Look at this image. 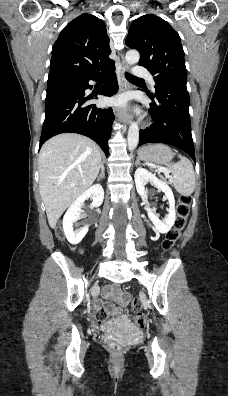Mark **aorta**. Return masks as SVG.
I'll list each match as a JSON object with an SVG mask.
<instances>
[{"instance_id":"1","label":"aorta","mask_w":228,"mask_h":396,"mask_svg":"<svg viewBox=\"0 0 228 396\" xmlns=\"http://www.w3.org/2000/svg\"><path fill=\"white\" fill-rule=\"evenodd\" d=\"M125 59L129 65H134L138 63L140 59V54L137 50H129L126 53ZM127 140H128V149L134 150L139 142V127L137 123L132 122L131 125L129 126Z\"/></svg>"}]
</instances>
